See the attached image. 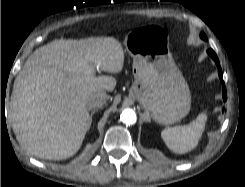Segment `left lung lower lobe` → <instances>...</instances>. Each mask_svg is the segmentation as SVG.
<instances>
[{"instance_id": "obj_1", "label": "left lung lower lobe", "mask_w": 245, "mask_h": 187, "mask_svg": "<svg viewBox=\"0 0 245 187\" xmlns=\"http://www.w3.org/2000/svg\"><path fill=\"white\" fill-rule=\"evenodd\" d=\"M207 53L211 56V58L215 61L217 67H218V75H219V78L221 80V83L223 85V100L224 102L227 100V97H226V87H225V83L223 81V76H222V69L220 67V63H219V60H218V57L216 55V53L212 50V49H209L207 51Z\"/></svg>"}]
</instances>
